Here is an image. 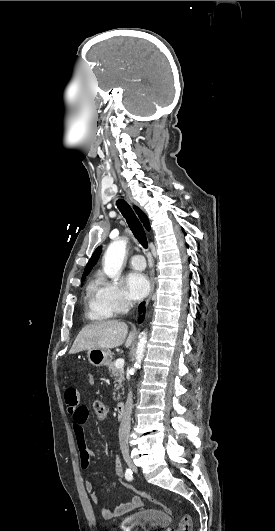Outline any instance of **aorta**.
Here are the masks:
<instances>
[{
    "label": "aorta",
    "mask_w": 275,
    "mask_h": 531,
    "mask_svg": "<svg viewBox=\"0 0 275 531\" xmlns=\"http://www.w3.org/2000/svg\"><path fill=\"white\" fill-rule=\"evenodd\" d=\"M127 241H113L108 245V249L103 257V271L110 279H116L119 271L123 265L126 255ZM147 343V333H141L136 347L135 365L140 369L141 363L144 359V353Z\"/></svg>",
    "instance_id": "aorta-1"
}]
</instances>
